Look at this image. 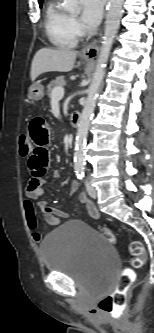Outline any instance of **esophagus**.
<instances>
[{"mask_svg":"<svg viewBox=\"0 0 154 333\" xmlns=\"http://www.w3.org/2000/svg\"><path fill=\"white\" fill-rule=\"evenodd\" d=\"M98 41L99 39L93 40L91 43L86 45L82 51L81 55L87 58H93L97 55L98 53Z\"/></svg>","mask_w":154,"mask_h":333,"instance_id":"esophagus-1","label":"esophagus"}]
</instances>
